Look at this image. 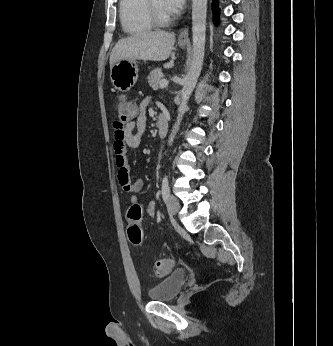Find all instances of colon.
<instances>
[{"label": "colon", "mask_w": 333, "mask_h": 346, "mask_svg": "<svg viewBox=\"0 0 333 346\" xmlns=\"http://www.w3.org/2000/svg\"><path fill=\"white\" fill-rule=\"evenodd\" d=\"M117 111L118 116L122 122H128L134 119L137 114L136 105L127 97L119 96L117 99ZM142 217V210L140 205H131L127 211V236L129 242L134 246H139L143 242V232L139 225ZM174 267V261L172 259H160L155 263V274L158 277H163L168 275Z\"/></svg>", "instance_id": "1"}]
</instances>
